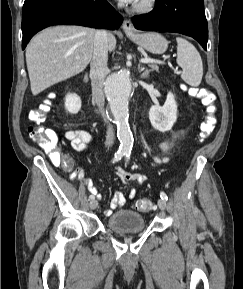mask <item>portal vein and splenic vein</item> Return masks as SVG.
<instances>
[{"mask_svg":"<svg viewBox=\"0 0 243 289\" xmlns=\"http://www.w3.org/2000/svg\"><path fill=\"white\" fill-rule=\"evenodd\" d=\"M141 63H156V64H164V61L156 60V59H150V58H142L140 60Z\"/></svg>","mask_w":243,"mask_h":289,"instance_id":"1","label":"portal vein and splenic vein"}]
</instances>
